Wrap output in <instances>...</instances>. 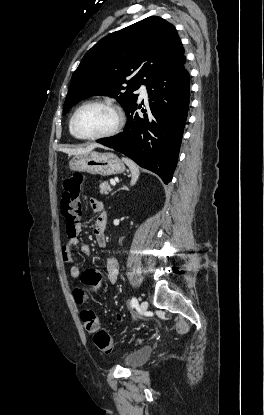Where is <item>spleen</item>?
I'll return each mask as SVG.
<instances>
[{
	"mask_svg": "<svg viewBox=\"0 0 264 415\" xmlns=\"http://www.w3.org/2000/svg\"><path fill=\"white\" fill-rule=\"evenodd\" d=\"M122 161L129 167L131 171V185H134L139 178V167L134 161L127 157H123Z\"/></svg>",
	"mask_w": 264,
	"mask_h": 415,
	"instance_id": "spleen-1",
	"label": "spleen"
}]
</instances>
